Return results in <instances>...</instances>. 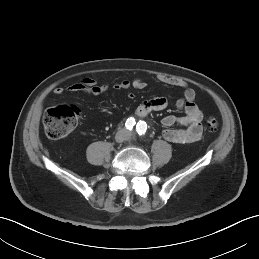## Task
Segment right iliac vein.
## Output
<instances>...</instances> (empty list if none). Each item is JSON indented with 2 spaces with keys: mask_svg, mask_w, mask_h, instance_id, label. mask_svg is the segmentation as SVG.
Here are the masks:
<instances>
[{
  "mask_svg": "<svg viewBox=\"0 0 259 259\" xmlns=\"http://www.w3.org/2000/svg\"><path fill=\"white\" fill-rule=\"evenodd\" d=\"M115 140H116V142H118V143H121V142L125 141V140H126V134H125V132H123V131L118 132V133L116 134V136H115Z\"/></svg>",
  "mask_w": 259,
  "mask_h": 259,
  "instance_id": "right-iliac-vein-1",
  "label": "right iliac vein"
}]
</instances>
